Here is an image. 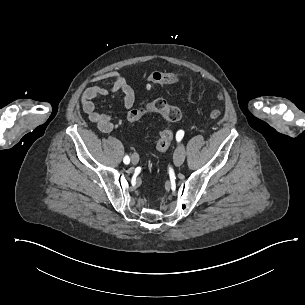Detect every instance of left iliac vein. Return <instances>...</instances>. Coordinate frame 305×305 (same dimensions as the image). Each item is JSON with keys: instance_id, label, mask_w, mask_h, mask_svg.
I'll return each instance as SVG.
<instances>
[{"instance_id": "obj_1", "label": "left iliac vein", "mask_w": 305, "mask_h": 305, "mask_svg": "<svg viewBox=\"0 0 305 305\" xmlns=\"http://www.w3.org/2000/svg\"><path fill=\"white\" fill-rule=\"evenodd\" d=\"M185 160V147L183 144L178 145L174 152V163L181 166Z\"/></svg>"}]
</instances>
